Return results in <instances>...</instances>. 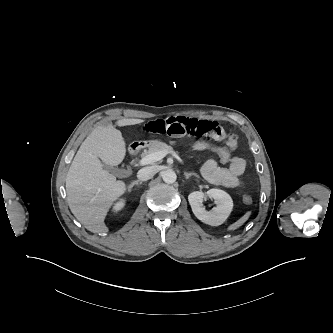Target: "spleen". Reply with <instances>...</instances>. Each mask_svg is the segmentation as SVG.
<instances>
[{"label": "spleen", "mask_w": 333, "mask_h": 333, "mask_svg": "<svg viewBox=\"0 0 333 333\" xmlns=\"http://www.w3.org/2000/svg\"><path fill=\"white\" fill-rule=\"evenodd\" d=\"M251 216V212H246L241 218H239L236 222L228 226V231H233L239 227H241Z\"/></svg>", "instance_id": "3e777b00"}]
</instances>
